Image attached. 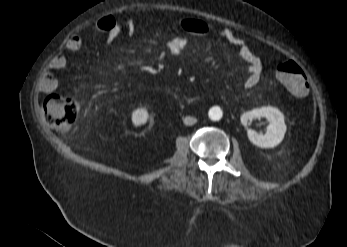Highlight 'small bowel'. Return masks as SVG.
<instances>
[{
  "mask_svg": "<svg viewBox=\"0 0 347 247\" xmlns=\"http://www.w3.org/2000/svg\"><path fill=\"white\" fill-rule=\"evenodd\" d=\"M178 25L183 29V34L168 40L167 50L170 55H180L189 45L191 39H207L211 35H217L226 43L236 49L240 60L249 66V73L244 80V87H254L260 77L262 61L260 57L248 46L238 31L230 28H214L208 23L193 18L178 20ZM95 29L106 34V42H111L118 37L125 29L128 35H132L136 30L134 21H127L124 25L118 23L114 17L106 16L95 22ZM83 41L79 35H72L65 43V50L71 53L78 52L82 47ZM67 64L63 55H57L50 60L45 72L38 80V87L41 92L46 94L53 93L58 87L57 73L62 71Z\"/></svg>",
  "mask_w": 347,
  "mask_h": 247,
  "instance_id": "1",
  "label": "small bowel"
}]
</instances>
